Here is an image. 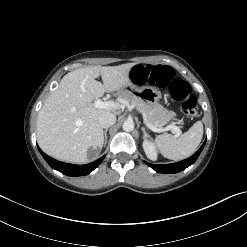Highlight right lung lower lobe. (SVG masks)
<instances>
[{"mask_svg": "<svg viewBox=\"0 0 247 247\" xmlns=\"http://www.w3.org/2000/svg\"><path fill=\"white\" fill-rule=\"evenodd\" d=\"M41 155L46 160V162L55 170L61 172L62 174H65L67 176H83L87 175L90 172H92L94 169H96L101 162L104 160L105 155L101 158L97 159L96 161L86 164V165H74V164H68L64 162L57 161L48 155H46L39 147H38Z\"/></svg>", "mask_w": 247, "mask_h": 247, "instance_id": "1", "label": "right lung lower lobe"}]
</instances>
